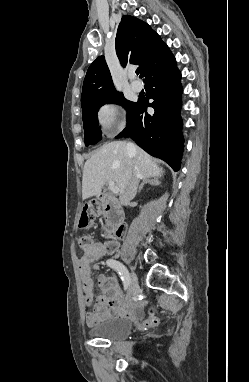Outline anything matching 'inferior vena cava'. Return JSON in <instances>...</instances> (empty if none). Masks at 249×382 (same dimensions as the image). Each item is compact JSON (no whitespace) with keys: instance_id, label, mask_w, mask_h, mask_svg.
Segmentation results:
<instances>
[{"instance_id":"obj_1","label":"inferior vena cava","mask_w":249,"mask_h":382,"mask_svg":"<svg viewBox=\"0 0 249 382\" xmlns=\"http://www.w3.org/2000/svg\"><path fill=\"white\" fill-rule=\"evenodd\" d=\"M135 147L132 143H128V149L133 150ZM140 174L137 168L134 169L133 174L131 175L124 192L120 196V203L122 205H128L132 199L136 196L137 187L139 183Z\"/></svg>"}]
</instances>
